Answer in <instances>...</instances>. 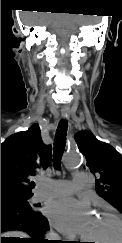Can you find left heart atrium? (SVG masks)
<instances>
[{
	"mask_svg": "<svg viewBox=\"0 0 122 243\" xmlns=\"http://www.w3.org/2000/svg\"><path fill=\"white\" fill-rule=\"evenodd\" d=\"M47 216L56 229L68 236H84L93 217L86 202L71 197L53 201L47 208Z\"/></svg>",
	"mask_w": 122,
	"mask_h": 243,
	"instance_id": "39dd6f15",
	"label": "left heart atrium"
}]
</instances>
